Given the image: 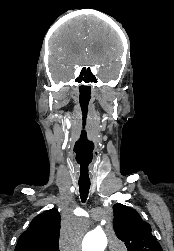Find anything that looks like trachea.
Wrapping results in <instances>:
<instances>
[{"mask_svg":"<svg viewBox=\"0 0 174 251\" xmlns=\"http://www.w3.org/2000/svg\"><path fill=\"white\" fill-rule=\"evenodd\" d=\"M90 189V182H79V192L81 201L86 202Z\"/></svg>","mask_w":174,"mask_h":251,"instance_id":"obj_1","label":"trachea"}]
</instances>
